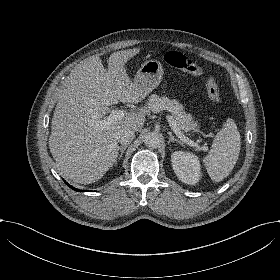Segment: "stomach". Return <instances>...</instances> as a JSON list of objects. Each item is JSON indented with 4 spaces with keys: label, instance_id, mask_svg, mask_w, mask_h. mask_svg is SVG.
<instances>
[{
    "label": "stomach",
    "instance_id": "1",
    "mask_svg": "<svg viewBox=\"0 0 280 280\" xmlns=\"http://www.w3.org/2000/svg\"><path fill=\"white\" fill-rule=\"evenodd\" d=\"M162 76V64L157 60H148L137 71L133 85L141 88L147 95L160 84Z\"/></svg>",
    "mask_w": 280,
    "mask_h": 280
}]
</instances>
